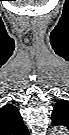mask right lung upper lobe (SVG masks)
<instances>
[{
  "mask_svg": "<svg viewBox=\"0 0 69 135\" xmlns=\"http://www.w3.org/2000/svg\"><path fill=\"white\" fill-rule=\"evenodd\" d=\"M0 121L2 135H28V129L15 106L5 105L0 110Z\"/></svg>",
  "mask_w": 69,
  "mask_h": 135,
  "instance_id": "1",
  "label": "right lung upper lobe"
}]
</instances>
